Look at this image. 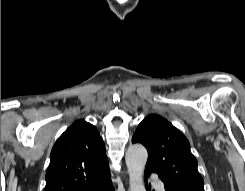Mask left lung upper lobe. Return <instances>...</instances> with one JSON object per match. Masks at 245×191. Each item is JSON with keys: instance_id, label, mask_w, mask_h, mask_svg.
I'll return each mask as SVG.
<instances>
[{"instance_id": "left-lung-upper-lobe-1", "label": "left lung upper lobe", "mask_w": 245, "mask_h": 191, "mask_svg": "<svg viewBox=\"0 0 245 191\" xmlns=\"http://www.w3.org/2000/svg\"><path fill=\"white\" fill-rule=\"evenodd\" d=\"M133 143L148 151L145 172L157 173L164 184L179 191H204V181L187 138L165 118L151 114L139 124Z\"/></svg>"}]
</instances>
